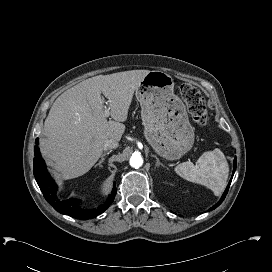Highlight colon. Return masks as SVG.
<instances>
[{"mask_svg": "<svg viewBox=\"0 0 272 272\" xmlns=\"http://www.w3.org/2000/svg\"><path fill=\"white\" fill-rule=\"evenodd\" d=\"M179 94L193 120L199 125L205 126L207 124V111L204 98L200 92L190 84H182L179 88Z\"/></svg>", "mask_w": 272, "mask_h": 272, "instance_id": "obj_1", "label": "colon"}]
</instances>
